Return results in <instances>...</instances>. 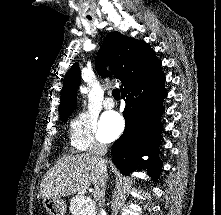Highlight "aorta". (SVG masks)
I'll return each instance as SVG.
<instances>
[{
    "label": "aorta",
    "mask_w": 221,
    "mask_h": 215,
    "mask_svg": "<svg viewBox=\"0 0 221 215\" xmlns=\"http://www.w3.org/2000/svg\"><path fill=\"white\" fill-rule=\"evenodd\" d=\"M81 92H82V93H86V92H87V89H86V88H81Z\"/></svg>",
    "instance_id": "obj_1"
}]
</instances>
